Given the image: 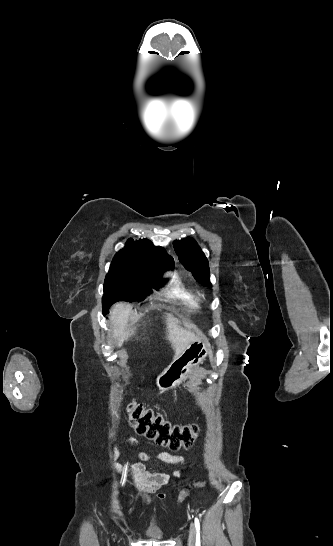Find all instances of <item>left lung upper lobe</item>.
I'll return each instance as SVG.
<instances>
[{
    "instance_id": "obj_1",
    "label": "left lung upper lobe",
    "mask_w": 333,
    "mask_h": 546,
    "mask_svg": "<svg viewBox=\"0 0 333 546\" xmlns=\"http://www.w3.org/2000/svg\"><path fill=\"white\" fill-rule=\"evenodd\" d=\"M173 245L180 262L192 272L196 281L204 286H211L208 260L197 242L188 237L174 241Z\"/></svg>"
}]
</instances>
